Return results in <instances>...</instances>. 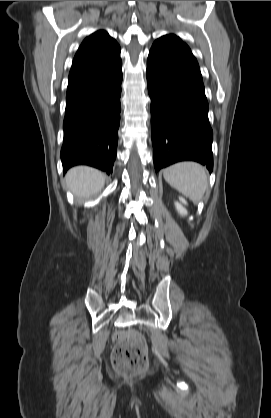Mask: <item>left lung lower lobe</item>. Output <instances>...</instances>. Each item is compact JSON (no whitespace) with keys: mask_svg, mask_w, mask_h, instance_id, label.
Here are the masks:
<instances>
[{"mask_svg":"<svg viewBox=\"0 0 271 418\" xmlns=\"http://www.w3.org/2000/svg\"><path fill=\"white\" fill-rule=\"evenodd\" d=\"M146 75L155 170L193 160L212 171L208 102L189 47L169 37L157 39L149 52Z\"/></svg>","mask_w":271,"mask_h":418,"instance_id":"left-lung-lower-lobe-1","label":"left lung lower lobe"}]
</instances>
